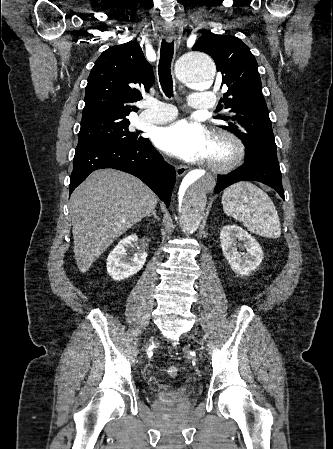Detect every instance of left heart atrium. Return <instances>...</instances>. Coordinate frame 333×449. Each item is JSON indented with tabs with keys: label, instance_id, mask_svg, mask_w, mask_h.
Returning <instances> with one entry per match:
<instances>
[{
	"label": "left heart atrium",
	"instance_id": "obj_1",
	"mask_svg": "<svg viewBox=\"0 0 333 449\" xmlns=\"http://www.w3.org/2000/svg\"><path fill=\"white\" fill-rule=\"evenodd\" d=\"M154 141L167 154L189 162L206 158L211 148L208 131L185 119L159 128Z\"/></svg>",
	"mask_w": 333,
	"mask_h": 449
}]
</instances>
